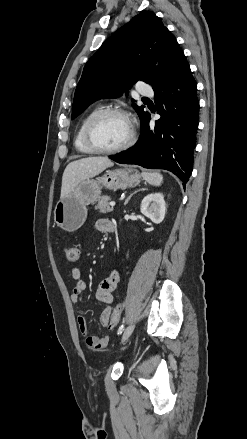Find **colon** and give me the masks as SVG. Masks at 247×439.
<instances>
[{"label": "colon", "mask_w": 247, "mask_h": 439, "mask_svg": "<svg viewBox=\"0 0 247 439\" xmlns=\"http://www.w3.org/2000/svg\"><path fill=\"white\" fill-rule=\"evenodd\" d=\"M80 257V251L77 247L72 246L66 250V258L69 262L74 263L77 262ZM123 312V305L121 303L117 304L113 309L110 315L109 326L114 328L117 326L121 319V315Z\"/></svg>", "instance_id": "5ec220e1"}]
</instances>
